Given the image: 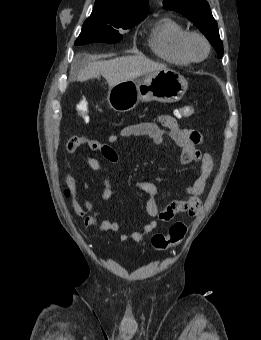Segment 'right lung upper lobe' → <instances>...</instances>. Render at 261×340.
Wrapping results in <instances>:
<instances>
[{
  "label": "right lung upper lobe",
  "instance_id": "obj_1",
  "mask_svg": "<svg viewBox=\"0 0 261 340\" xmlns=\"http://www.w3.org/2000/svg\"><path fill=\"white\" fill-rule=\"evenodd\" d=\"M93 12L112 18L144 19L148 14V0H96Z\"/></svg>",
  "mask_w": 261,
  "mask_h": 340
}]
</instances>
